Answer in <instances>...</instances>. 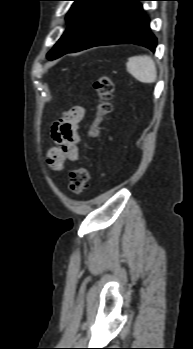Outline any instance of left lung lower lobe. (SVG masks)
I'll return each mask as SVG.
<instances>
[{"instance_id": "1", "label": "left lung lower lobe", "mask_w": 193, "mask_h": 349, "mask_svg": "<svg viewBox=\"0 0 193 349\" xmlns=\"http://www.w3.org/2000/svg\"><path fill=\"white\" fill-rule=\"evenodd\" d=\"M139 1L145 0H111L66 53L122 43L138 44L155 51L156 38Z\"/></svg>"}]
</instances>
